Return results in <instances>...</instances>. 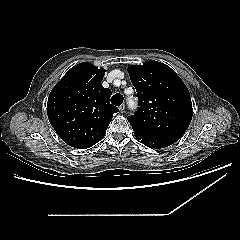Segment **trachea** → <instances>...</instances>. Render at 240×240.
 Returning a JSON list of instances; mask_svg holds the SVG:
<instances>
[{"label": "trachea", "instance_id": "1", "mask_svg": "<svg viewBox=\"0 0 240 240\" xmlns=\"http://www.w3.org/2000/svg\"><path fill=\"white\" fill-rule=\"evenodd\" d=\"M123 96L121 94H114L111 98V103L115 106H119L123 103Z\"/></svg>", "mask_w": 240, "mask_h": 240}]
</instances>
